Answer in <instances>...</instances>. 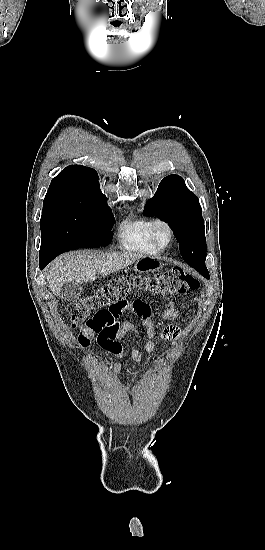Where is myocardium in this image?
<instances>
[{
	"label": "myocardium",
	"mask_w": 265,
	"mask_h": 550,
	"mask_svg": "<svg viewBox=\"0 0 265 550\" xmlns=\"http://www.w3.org/2000/svg\"><path fill=\"white\" fill-rule=\"evenodd\" d=\"M161 228L165 229L168 233V242L166 244H162L157 238V231ZM150 236H151V240L154 243V245L158 249L162 250V249L168 248L172 244V242L174 240V231H173L171 225L167 221L162 220V219H156V220H153L152 223H151Z\"/></svg>",
	"instance_id": "obj_1"
}]
</instances>
